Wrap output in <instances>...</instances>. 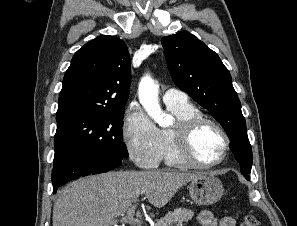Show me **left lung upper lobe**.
I'll list each match as a JSON object with an SVG mask.
<instances>
[{
    "label": "left lung upper lobe",
    "instance_id": "5c2ea615",
    "mask_svg": "<svg viewBox=\"0 0 297 226\" xmlns=\"http://www.w3.org/2000/svg\"><path fill=\"white\" fill-rule=\"evenodd\" d=\"M161 42L172 80L222 125L240 171L249 177L252 150L230 72L214 51L189 32L166 36Z\"/></svg>",
    "mask_w": 297,
    "mask_h": 226
}]
</instances>
